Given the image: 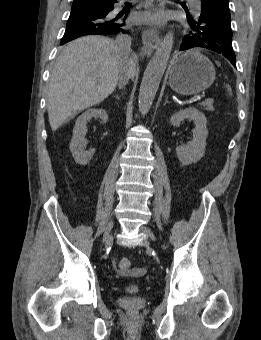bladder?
Returning a JSON list of instances; mask_svg holds the SVG:
<instances>
[{
  "label": "bladder",
  "instance_id": "31cf9c89",
  "mask_svg": "<svg viewBox=\"0 0 261 340\" xmlns=\"http://www.w3.org/2000/svg\"><path fill=\"white\" fill-rule=\"evenodd\" d=\"M123 288L129 295H135L140 291L141 283L139 281L129 280L125 282Z\"/></svg>",
  "mask_w": 261,
  "mask_h": 340
}]
</instances>
